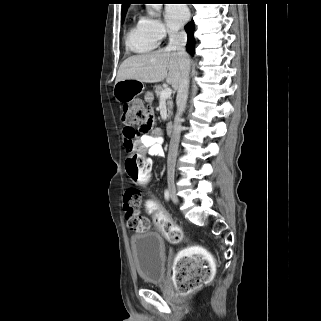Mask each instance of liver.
Instances as JSON below:
<instances>
[{"instance_id":"6515ba94","label":"liver","mask_w":321,"mask_h":321,"mask_svg":"<svg viewBox=\"0 0 321 321\" xmlns=\"http://www.w3.org/2000/svg\"><path fill=\"white\" fill-rule=\"evenodd\" d=\"M181 58L175 50L159 49L127 58L121 64L116 82L132 79L144 83H158L166 79L177 89L181 79Z\"/></svg>"}]
</instances>
